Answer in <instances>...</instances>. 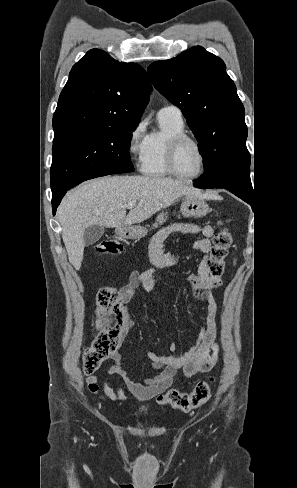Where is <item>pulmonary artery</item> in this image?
<instances>
[{
  "mask_svg": "<svg viewBox=\"0 0 297 488\" xmlns=\"http://www.w3.org/2000/svg\"><path fill=\"white\" fill-rule=\"evenodd\" d=\"M158 115L160 117H171V118L183 120L181 110L175 105H167L163 107L159 111Z\"/></svg>",
  "mask_w": 297,
  "mask_h": 488,
  "instance_id": "obj_1",
  "label": "pulmonary artery"
}]
</instances>
